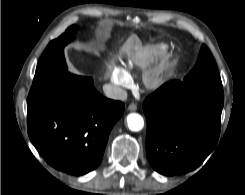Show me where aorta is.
Here are the masks:
<instances>
[{
	"label": "aorta",
	"mask_w": 245,
	"mask_h": 195,
	"mask_svg": "<svg viewBox=\"0 0 245 195\" xmlns=\"http://www.w3.org/2000/svg\"><path fill=\"white\" fill-rule=\"evenodd\" d=\"M127 125L131 131H140L144 126V120L141 115L131 113L127 116Z\"/></svg>",
	"instance_id": "aorta-1"
}]
</instances>
